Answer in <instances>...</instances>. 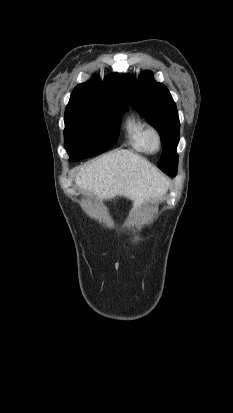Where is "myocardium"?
<instances>
[{"label": "myocardium", "mask_w": 233, "mask_h": 413, "mask_svg": "<svg viewBox=\"0 0 233 413\" xmlns=\"http://www.w3.org/2000/svg\"><path fill=\"white\" fill-rule=\"evenodd\" d=\"M146 145L150 152H158L162 147V137L160 132L154 128L149 127L146 132Z\"/></svg>", "instance_id": "f54148a6"}]
</instances>
